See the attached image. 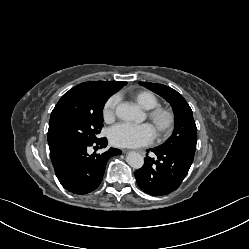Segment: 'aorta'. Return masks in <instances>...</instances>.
Returning a JSON list of instances; mask_svg holds the SVG:
<instances>
[{
    "label": "aorta",
    "instance_id": "aorta-1",
    "mask_svg": "<svg viewBox=\"0 0 249 249\" xmlns=\"http://www.w3.org/2000/svg\"><path fill=\"white\" fill-rule=\"evenodd\" d=\"M116 116L124 121H133L138 115V109L128 103H121L116 107ZM127 163L134 169H139L144 164V158L137 152H130L126 157Z\"/></svg>",
    "mask_w": 249,
    "mask_h": 249
}]
</instances>
